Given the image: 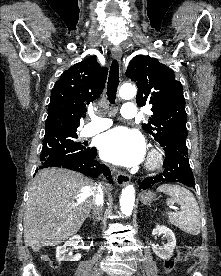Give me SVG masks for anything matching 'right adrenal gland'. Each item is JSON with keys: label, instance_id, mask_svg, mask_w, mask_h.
Segmentation results:
<instances>
[{"label": "right adrenal gland", "instance_id": "right-adrenal-gland-1", "mask_svg": "<svg viewBox=\"0 0 221 276\" xmlns=\"http://www.w3.org/2000/svg\"><path fill=\"white\" fill-rule=\"evenodd\" d=\"M87 218H91V219L94 221V223H97V222H99V221L101 220V217H100V216H97V215H95V214H93V215H88Z\"/></svg>", "mask_w": 221, "mask_h": 276}]
</instances>
